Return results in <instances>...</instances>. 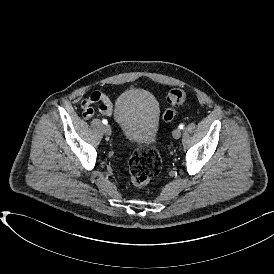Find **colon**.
<instances>
[{
    "mask_svg": "<svg viewBox=\"0 0 274 274\" xmlns=\"http://www.w3.org/2000/svg\"><path fill=\"white\" fill-rule=\"evenodd\" d=\"M187 95L180 89H173L167 96V107L163 113L164 121H171L176 115V108L183 104ZM162 167L159 152L150 144H145L133 152L129 162L131 183L135 187H143L150 182Z\"/></svg>",
    "mask_w": 274,
    "mask_h": 274,
    "instance_id": "5ec220e1",
    "label": "colon"
}]
</instances>
